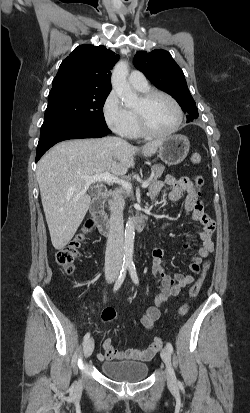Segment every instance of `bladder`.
Returning <instances> with one entry per match:
<instances>
[{
    "label": "bladder",
    "mask_w": 250,
    "mask_h": 413,
    "mask_svg": "<svg viewBox=\"0 0 250 413\" xmlns=\"http://www.w3.org/2000/svg\"><path fill=\"white\" fill-rule=\"evenodd\" d=\"M100 369L104 375L119 382H138L145 379L149 372L146 363L136 361H106L100 364Z\"/></svg>",
    "instance_id": "obj_1"
}]
</instances>
